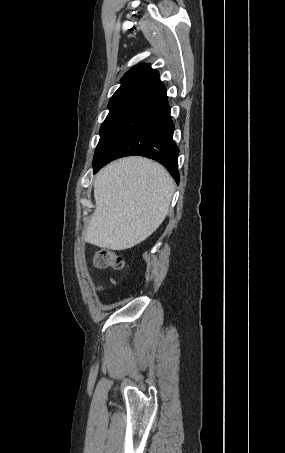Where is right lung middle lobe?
I'll use <instances>...</instances> for the list:
<instances>
[{"instance_id": "obj_1", "label": "right lung middle lobe", "mask_w": 285, "mask_h": 453, "mask_svg": "<svg viewBox=\"0 0 285 453\" xmlns=\"http://www.w3.org/2000/svg\"><path fill=\"white\" fill-rule=\"evenodd\" d=\"M124 101H125V99H116V100L109 101V104H108L109 113L100 128V140L103 137V135L105 134V132L107 131L113 117L115 116L116 112L121 107V105L124 103ZM100 140H99V143H100ZM99 143H98V145H99ZM98 145H97V147H98ZM97 147H96V149H97Z\"/></svg>"}]
</instances>
